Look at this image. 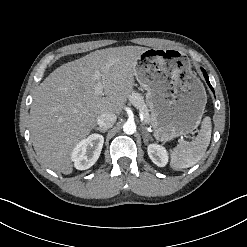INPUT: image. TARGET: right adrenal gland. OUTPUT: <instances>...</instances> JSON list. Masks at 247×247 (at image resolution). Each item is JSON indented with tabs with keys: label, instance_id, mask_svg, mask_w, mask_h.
Masks as SVG:
<instances>
[{
	"label": "right adrenal gland",
	"instance_id": "right-adrenal-gland-1",
	"mask_svg": "<svg viewBox=\"0 0 247 247\" xmlns=\"http://www.w3.org/2000/svg\"><path fill=\"white\" fill-rule=\"evenodd\" d=\"M95 130H98L101 133H105L107 131V129H103V128H100V127H96Z\"/></svg>",
	"mask_w": 247,
	"mask_h": 247
}]
</instances>
